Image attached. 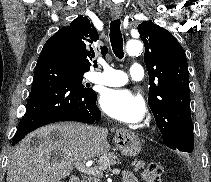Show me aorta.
I'll return each mask as SVG.
<instances>
[{
    "instance_id": "762f6f07",
    "label": "aorta",
    "mask_w": 211,
    "mask_h": 182,
    "mask_svg": "<svg viewBox=\"0 0 211 182\" xmlns=\"http://www.w3.org/2000/svg\"><path fill=\"white\" fill-rule=\"evenodd\" d=\"M143 49V43L140 40H129L126 44L128 55H138Z\"/></svg>"
}]
</instances>
